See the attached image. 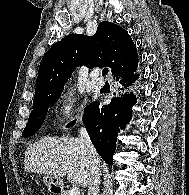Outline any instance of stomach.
<instances>
[{
	"instance_id": "1",
	"label": "stomach",
	"mask_w": 189,
	"mask_h": 195,
	"mask_svg": "<svg viewBox=\"0 0 189 195\" xmlns=\"http://www.w3.org/2000/svg\"><path fill=\"white\" fill-rule=\"evenodd\" d=\"M43 182L49 190H52L53 188H59L61 185V181L51 175H44Z\"/></svg>"
}]
</instances>
